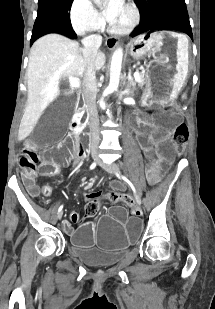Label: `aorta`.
<instances>
[{
    "mask_svg": "<svg viewBox=\"0 0 215 309\" xmlns=\"http://www.w3.org/2000/svg\"><path fill=\"white\" fill-rule=\"evenodd\" d=\"M94 2H99L100 4V0H94ZM122 58H123V48L119 46V48H116V50H114L112 54L109 84L108 86H106L105 92L99 100L101 108H106L104 96H106V94H109V92H113V90H117L119 86Z\"/></svg>",
    "mask_w": 215,
    "mask_h": 309,
    "instance_id": "1",
    "label": "aorta"
}]
</instances>
